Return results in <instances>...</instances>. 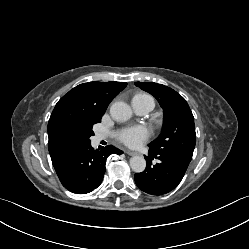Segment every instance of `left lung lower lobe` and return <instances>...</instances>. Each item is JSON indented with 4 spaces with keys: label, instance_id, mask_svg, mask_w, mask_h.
<instances>
[{
    "label": "left lung lower lobe",
    "instance_id": "1",
    "mask_svg": "<svg viewBox=\"0 0 249 249\" xmlns=\"http://www.w3.org/2000/svg\"><path fill=\"white\" fill-rule=\"evenodd\" d=\"M147 167L134 178L137 186L152 195H163L172 191L182 180L191 159L180 155L157 153L149 149ZM154 158L160 162L152 165Z\"/></svg>",
    "mask_w": 249,
    "mask_h": 249
}]
</instances>
